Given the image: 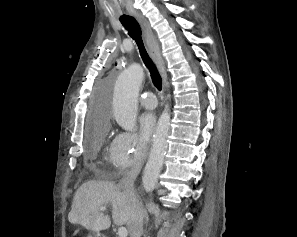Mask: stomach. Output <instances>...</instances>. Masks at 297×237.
Listing matches in <instances>:
<instances>
[{"instance_id": "stomach-1", "label": "stomach", "mask_w": 297, "mask_h": 237, "mask_svg": "<svg viewBox=\"0 0 297 237\" xmlns=\"http://www.w3.org/2000/svg\"><path fill=\"white\" fill-rule=\"evenodd\" d=\"M88 237H104V236L99 232H92L88 235Z\"/></svg>"}]
</instances>
